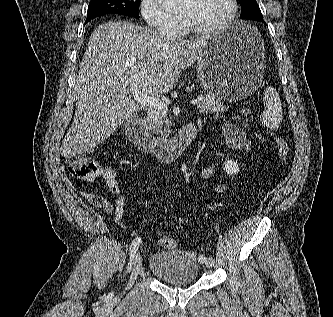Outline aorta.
Returning a JSON list of instances; mask_svg holds the SVG:
<instances>
[{
    "label": "aorta",
    "mask_w": 333,
    "mask_h": 317,
    "mask_svg": "<svg viewBox=\"0 0 333 317\" xmlns=\"http://www.w3.org/2000/svg\"><path fill=\"white\" fill-rule=\"evenodd\" d=\"M160 5H162L165 9H174L178 7L183 0H156Z\"/></svg>",
    "instance_id": "obj_1"
}]
</instances>
